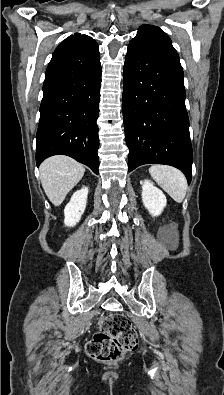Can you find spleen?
Here are the masks:
<instances>
[{"label": "spleen", "mask_w": 224, "mask_h": 395, "mask_svg": "<svg viewBox=\"0 0 224 395\" xmlns=\"http://www.w3.org/2000/svg\"><path fill=\"white\" fill-rule=\"evenodd\" d=\"M149 173L174 201H183L187 191V180L180 170L167 165H153L149 168Z\"/></svg>", "instance_id": "obj_1"}]
</instances>
